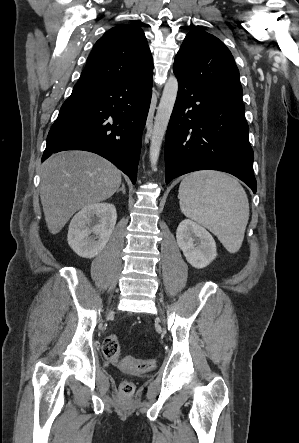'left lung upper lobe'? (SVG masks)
<instances>
[{
    "mask_svg": "<svg viewBox=\"0 0 299 443\" xmlns=\"http://www.w3.org/2000/svg\"><path fill=\"white\" fill-rule=\"evenodd\" d=\"M174 73L194 84L243 103L239 71L229 49L217 37L193 29L174 61Z\"/></svg>",
    "mask_w": 299,
    "mask_h": 443,
    "instance_id": "obj_1",
    "label": "left lung upper lobe"
}]
</instances>
